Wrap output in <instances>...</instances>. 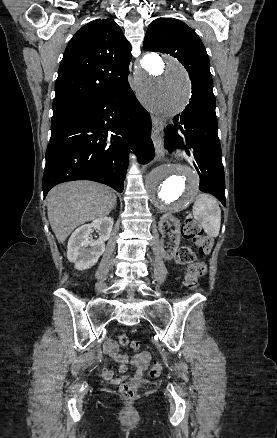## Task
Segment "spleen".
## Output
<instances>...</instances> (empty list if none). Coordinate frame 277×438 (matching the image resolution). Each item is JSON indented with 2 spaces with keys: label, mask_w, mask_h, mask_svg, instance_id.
<instances>
[{
  "label": "spleen",
  "mask_w": 277,
  "mask_h": 438,
  "mask_svg": "<svg viewBox=\"0 0 277 438\" xmlns=\"http://www.w3.org/2000/svg\"><path fill=\"white\" fill-rule=\"evenodd\" d=\"M195 220L201 222L204 232L211 238L219 234L221 224V210L216 198L209 194H199L193 206Z\"/></svg>",
  "instance_id": "spleen-1"
}]
</instances>
